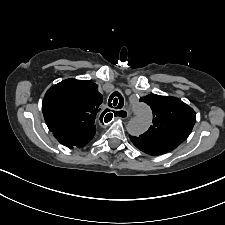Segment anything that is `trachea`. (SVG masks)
<instances>
[{
    "label": "trachea",
    "instance_id": "3493384b",
    "mask_svg": "<svg viewBox=\"0 0 225 225\" xmlns=\"http://www.w3.org/2000/svg\"><path fill=\"white\" fill-rule=\"evenodd\" d=\"M108 105L111 107V108H115V109H121L124 105V99L122 97V95L118 92H115L113 94L110 95L109 97V101H108ZM110 115L111 118H112V114H107V116ZM116 116V114H115Z\"/></svg>",
    "mask_w": 225,
    "mask_h": 225
}]
</instances>
